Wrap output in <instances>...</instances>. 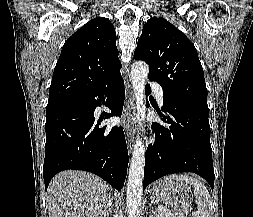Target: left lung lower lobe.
Listing matches in <instances>:
<instances>
[{
    "label": "left lung lower lobe",
    "mask_w": 253,
    "mask_h": 217,
    "mask_svg": "<svg viewBox=\"0 0 253 217\" xmlns=\"http://www.w3.org/2000/svg\"><path fill=\"white\" fill-rule=\"evenodd\" d=\"M146 92L150 93V85L146 86ZM163 110L168 114L159 112V115L170 126L152 123L156 140L146 151L143 190L158 178L177 172L196 173L213 190L215 176L208 109L166 100L163 102Z\"/></svg>",
    "instance_id": "left-lung-lower-lobe-1"
}]
</instances>
